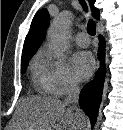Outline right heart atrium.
I'll return each mask as SVG.
<instances>
[{
	"label": "right heart atrium",
	"instance_id": "obj_1",
	"mask_svg": "<svg viewBox=\"0 0 123 130\" xmlns=\"http://www.w3.org/2000/svg\"><path fill=\"white\" fill-rule=\"evenodd\" d=\"M44 74L54 96H64L78 88V81L63 58L43 54Z\"/></svg>",
	"mask_w": 123,
	"mask_h": 130
}]
</instances>
